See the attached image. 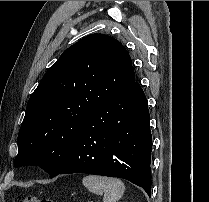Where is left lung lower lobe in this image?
I'll list each match as a JSON object with an SVG mask.
<instances>
[{
  "label": "left lung lower lobe",
  "mask_w": 209,
  "mask_h": 202,
  "mask_svg": "<svg viewBox=\"0 0 209 202\" xmlns=\"http://www.w3.org/2000/svg\"><path fill=\"white\" fill-rule=\"evenodd\" d=\"M151 150L148 103L134 82L85 118L70 154L52 177L66 173L119 177L151 196Z\"/></svg>",
  "instance_id": "obj_1"
}]
</instances>
